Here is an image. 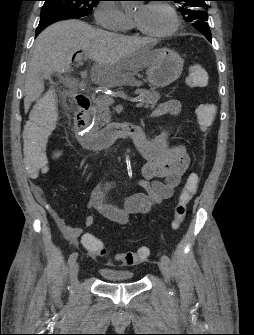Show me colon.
<instances>
[{"label":"colon","instance_id":"5ec220e1","mask_svg":"<svg viewBox=\"0 0 254 335\" xmlns=\"http://www.w3.org/2000/svg\"><path fill=\"white\" fill-rule=\"evenodd\" d=\"M208 74L200 64L189 66L186 83L189 87H202L207 83ZM59 104L54 96L45 97L35 108L30 121L23 133L22 171L27 172V178H46L48 172L47 138L54 129L58 118ZM216 107L213 103H202L196 108V116L203 130L209 128L214 120ZM199 186V175L191 174L179 192L173 210L172 227L178 229L185 220L186 210ZM83 245L96 256H105L107 250L101 240L94 236L85 237ZM148 247H140L136 251L119 253L116 260L124 266H134L148 259Z\"/></svg>","mask_w":254,"mask_h":335}]
</instances>
